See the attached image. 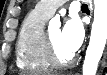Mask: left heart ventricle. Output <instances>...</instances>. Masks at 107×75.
Instances as JSON below:
<instances>
[{
	"label": "left heart ventricle",
	"mask_w": 107,
	"mask_h": 75,
	"mask_svg": "<svg viewBox=\"0 0 107 75\" xmlns=\"http://www.w3.org/2000/svg\"><path fill=\"white\" fill-rule=\"evenodd\" d=\"M48 35H49L50 39L52 40V42L61 58L66 59L72 55L69 51H67L64 48V46L62 44L61 30L54 29V30L50 31L48 33Z\"/></svg>",
	"instance_id": "obj_1"
}]
</instances>
